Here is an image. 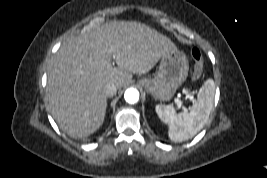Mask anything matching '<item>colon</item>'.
I'll use <instances>...</instances> for the list:
<instances>
[{"label":"colon","mask_w":267,"mask_h":178,"mask_svg":"<svg viewBox=\"0 0 267 178\" xmlns=\"http://www.w3.org/2000/svg\"><path fill=\"white\" fill-rule=\"evenodd\" d=\"M190 56L194 63L193 77L199 79L203 73V54L199 48L194 47L191 49Z\"/></svg>","instance_id":"5ec220e1"}]
</instances>
